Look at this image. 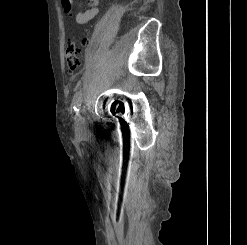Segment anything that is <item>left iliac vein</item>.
<instances>
[{"instance_id":"4c4485c4","label":"left iliac vein","mask_w":247,"mask_h":245,"mask_svg":"<svg viewBox=\"0 0 247 245\" xmlns=\"http://www.w3.org/2000/svg\"><path fill=\"white\" fill-rule=\"evenodd\" d=\"M75 125H76V130L78 132H82L85 129V126H86L85 118H84V116L82 114H80L78 116Z\"/></svg>"}]
</instances>
